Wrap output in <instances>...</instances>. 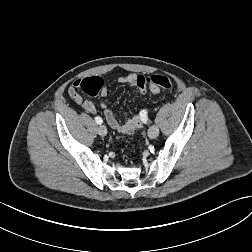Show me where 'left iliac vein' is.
I'll use <instances>...</instances> for the list:
<instances>
[{"instance_id":"1","label":"left iliac vein","mask_w":252,"mask_h":252,"mask_svg":"<svg viewBox=\"0 0 252 252\" xmlns=\"http://www.w3.org/2000/svg\"><path fill=\"white\" fill-rule=\"evenodd\" d=\"M159 134V129L157 126H151L149 129H148V137L150 139H155Z\"/></svg>"}]
</instances>
